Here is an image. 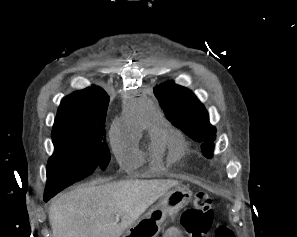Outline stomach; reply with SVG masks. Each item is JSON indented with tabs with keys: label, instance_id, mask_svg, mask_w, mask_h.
I'll list each match as a JSON object with an SVG mask.
<instances>
[{
	"label": "stomach",
	"instance_id": "obj_1",
	"mask_svg": "<svg viewBox=\"0 0 297 237\" xmlns=\"http://www.w3.org/2000/svg\"><path fill=\"white\" fill-rule=\"evenodd\" d=\"M192 197V192L181 185L167 191L144 216L131 224L123 237H157L168 215L181 210Z\"/></svg>",
	"mask_w": 297,
	"mask_h": 237
}]
</instances>
